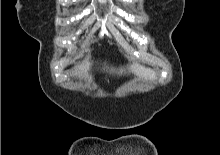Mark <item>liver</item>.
<instances>
[{
  "label": "liver",
  "mask_w": 220,
  "mask_h": 155,
  "mask_svg": "<svg viewBox=\"0 0 220 155\" xmlns=\"http://www.w3.org/2000/svg\"><path fill=\"white\" fill-rule=\"evenodd\" d=\"M90 63L88 61L84 62L81 65H78L74 68L75 75H86L87 71L89 70ZM114 71V70H111ZM129 71L136 74L139 79L142 80H153L156 78V74L150 68H145L139 64H133L129 67ZM124 69L120 68L119 74H122Z\"/></svg>",
  "instance_id": "liver-1"
}]
</instances>
